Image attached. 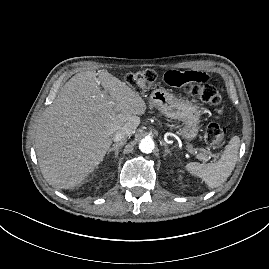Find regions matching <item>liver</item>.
I'll use <instances>...</instances> for the list:
<instances>
[{"instance_id": "liver-1", "label": "liver", "mask_w": 269, "mask_h": 269, "mask_svg": "<svg viewBox=\"0 0 269 269\" xmlns=\"http://www.w3.org/2000/svg\"><path fill=\"white\" fill-rule=\"evenodd\" d=\"M146 109L136 91L107 71L74 75L37 125L35 148L43 177L57 189L79 186L103 161L115 133L132 135Z\"/></svg>"}]
</instances>
